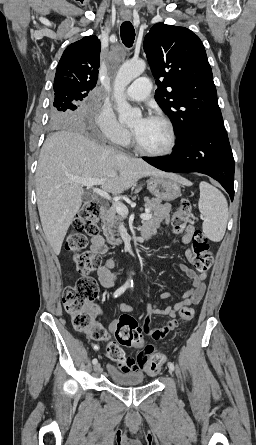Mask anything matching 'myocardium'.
Instances as JSON below:
<instances>
[{"instance_id": "1", "label": "myocardium", "mask_w": 256, "mask_h": 445, "mask_svg": "<svg viewBox=\"0 0 256 445\" xmlns=\"http://www.w3.org/2000/svg\"><path fill=\"white\" fill-rule=\"evenodd\" d=\"M147 119H151V120H155L158 122H161L163 125H165V127L168 130L169 133V143L168 146L160 151H151L148 150L146 148H144L137 140V138L135 137L134 133H132V145L135 148L136 151H138L140 154L145 155V156H150V157H165L170 155L177 144V134H176V130L175 127L173 125V123L165 116L160 115V114H152L149 115Z\"/></svg>"}]
</instances>
